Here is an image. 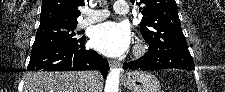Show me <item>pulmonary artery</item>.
<instances>
[{"instance_id":"obj_1","label":"pulmonary artery","mask_w":225,"mask_h":92,"mask_svg":"<svg viewBox=\"0 0 225 92\" xmlns=\"http://www.w3.org/2000/svg\"><path fill=\"white\" fill-rule=\"evenodd\" d=\"M115 9H116V12L119 14H128L129 13L128 5L124 1L117 2L115 5ZM85 14L87 15V17L79 23V26L81 28L87 27L91 24L102 21V20L106 19L109 15V13L106 9H101V10H97V11H86Z\"/></svg>"}]
</instances>
